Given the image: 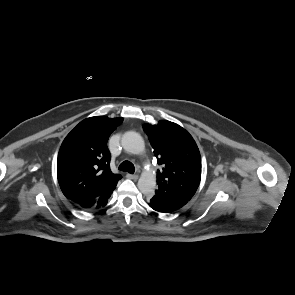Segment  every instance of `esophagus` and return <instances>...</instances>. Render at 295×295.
Here are the masks:
<instances>
[{
	"mask_svg": "<svg viewBox=\"0 0 295 295\" xmlns=\"http://www.w3.org/2000/svg\"><path fill=\"white\" fill-rule=\"evenodd\" d=\"M126 177L132 180H136L138 179V175L137 174H126Z\"/></svg>",
	"mask_w": 295,
	"mask_h": 295,
	"instance_id": "1",
	"label": "esophagus"
}]
</instances>
